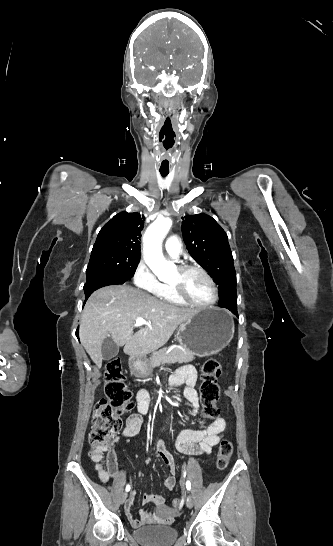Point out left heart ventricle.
Returning a JSON list of instances; mask_svg holds the SVG:
<instances>
[{
    "instance_id": "left-heart-ventricle-1",
    "label": "left heart ventricle",
    "mask_w": 333,
    "mask_h": 546,
    "mask_svg": "<svg viewBox=\"0 0 333 546\" xmlns=\"http://www.w3.org/2000/svg\"><path fill=\"white\" fill-rule=\"evenodd\" d=\"M181 283L187 296L199 303L209 302L213 298V290L207 279L198 271H189L180 275L177 271L172 284Z\"/></svg>"
}]
</instances>
